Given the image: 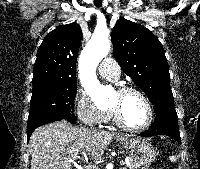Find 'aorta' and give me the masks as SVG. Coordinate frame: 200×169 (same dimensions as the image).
I'll return each mask as SVG.
<instances>
[{
	"instance_id": "1",
	"label": "aorta",
	"mask_w": 200,
	"mask_h": 169,
	"mask_svg": "<svg viewBox=\"0 0 200 169\" xmlns=\"http://www.w3.org/2000/svg\"><path fill=\"white\" fill-rule=\"evenodd\" d=\"M111 49L107 37L94 34L81 52L79 59V73L81 82L87 94L99 101L106 97L107 87L101 85L96 77V68Z\"/></svg>"
}]
</instances>
